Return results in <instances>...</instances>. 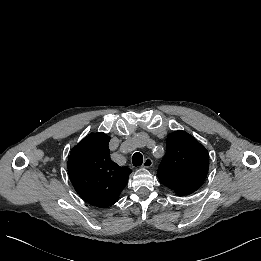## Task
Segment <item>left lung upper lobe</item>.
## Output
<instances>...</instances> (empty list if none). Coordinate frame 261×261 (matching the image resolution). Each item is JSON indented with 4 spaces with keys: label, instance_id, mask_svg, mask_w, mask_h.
I'll return each mask as SVG.
<instances>
[{
    "label": "left lung upper lobe",
    "instance_id": "left-lung-upper-lobe-1",
    "mask_svg": "<svg viewBox=\"0 0 261 261\" xmlns=\"http://www.w3.org/2000/svg\"><path fill=\"white\" fill-rule=\"evenodd\" d=\"M209 169L206 148L185 131L168 135L167 150L158 168L160 182L177 195H189L203 184Z\"/></svg>",
    "mask_w": 261,
    "mask_h": 261
}]
</instances>
